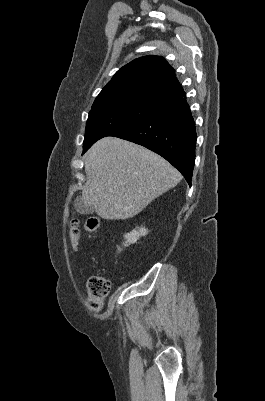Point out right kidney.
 I'll return each instance as SVG.
<instances>
[{
    "instance_id": "ca27d5eb",
    "label": "right kidney",
    "mask_w": 265,
    "mask_h": 401,
    "mask_svg": "<svg viewBox=\"0 0 265 401\" xmlns=\"http://www.w3.org/2000/svg\"><path fill=\"white\" fill-rule=\"evenodd\" d=\"M145 235H148L147 229H144V227H139L138 231H131V233H126L124 235L126 241L123 243L124 247H129V245H132V243H136L138 241L139 237H145Z\"/></svg>"
}]
</instances>
